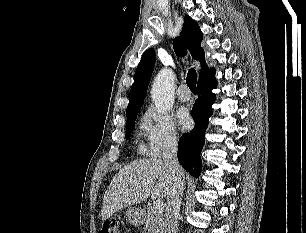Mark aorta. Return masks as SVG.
Masks as SVG:
<instances>
[{
	"label": "aorta",
	"mask_w": 306,
	"mask_h": 233,
	"mask_svg": "<svg viewBox=\"0 0 306 233\" xmlns=\"http://www.w3.org/2000/svg\"><path fill=\"white\" fill-rule=\"evenodd\" d=\"M151 97L158 113H166L174 103V74L172 70L163 68L155 77Z\"/></svg>",
	"instance_id": "aorta-1"
}]
</instances>
